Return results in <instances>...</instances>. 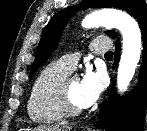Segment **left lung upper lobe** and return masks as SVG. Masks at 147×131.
<instances>
[{
  "mask_svg": "<svg viewBox=\"0 0 147 131\" xmlns=\"http://www.w3.org/2000/svg\"><path fill=\"white\" fill-rule=\"evenodd\" d=\"M92 6L103 8L113 7L126 10L136 19H138L140 24L147 20V7L142 0H84L81 8L86 9ZM77 9L78 7H69L59 11L46 25L37 47L35 60L32 64L29 77H31L35 71L44 64L52 52L57 48L65 25L72 15L77 11ZM106 34L114 39L116 38V33L114 31H107Z\"/></svg>",
  "mask_w": 147,
  "mask_h": 131,
  "instance_id": "obj_1",
  "label": "left lung upper lobe"
}]
</instances>
